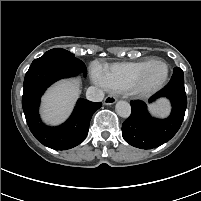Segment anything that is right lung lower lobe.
<instances>
[{
    "label": "right lung lower lobe",
    "mask_w": 201,
    "mask_h": 201,
    "mask_svg": "<svg viewBox=\"0 0 201 201\" xmlns=\"http://www.w3.org/2000/svg\"><path fill=\"white\" fill-rule=\"evenodd\" d=\"M79 66L60 53L44 54L35 59L24 78L22 107L27 124L35 138L43 145L66 150L80 144L87 136L93 113L102 106L79 99L70 118L58 127L45 125L38 114L40 98L45 90L62 78L77 75Z\"/></svg>",
    "instance_id": "right-lung-lower-lobe-1"
}]
</instances>
